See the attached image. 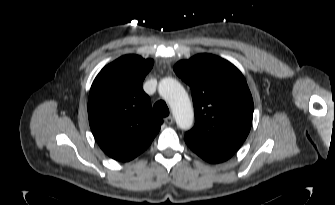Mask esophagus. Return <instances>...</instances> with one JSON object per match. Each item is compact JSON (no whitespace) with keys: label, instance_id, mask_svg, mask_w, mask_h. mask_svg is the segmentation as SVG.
I'll return each instance as SVG.
<instances>
[{"label":"esophagus","instance_id":"1","mask_svg":"<svg viewBox=\"0 0 335 205\" xmlns=\"http://www.w3.org/2000/svg\"><path fill=\"white\" fill-rule=\"evenodd\" d=\"M164 121H165L166 124L171 125L174 122V118H173V116L170 115V116L166 117L164 119Z\"/></svg>","mask_w":335,"mask_h":205}]
</instances>
